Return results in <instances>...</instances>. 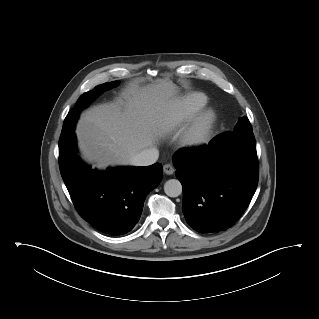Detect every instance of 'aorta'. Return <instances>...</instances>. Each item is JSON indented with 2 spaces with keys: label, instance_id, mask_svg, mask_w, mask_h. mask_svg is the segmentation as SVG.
<instances>
[{
  "label": "aorta",
  "instance_id": "762f6f07",
  "mask_svg": "<svg viewBox=\"0 0 319 319\" xmlns=\"http://www.w3.org/2000/svg\"><path fill=\"white\" fill-rule=\"evenodd\" d=\"M164 192L169 197H178L182 193V184L177 179H170L164 184Z\"/></svg>",
  "mask_w": 319,
  "mask_h": 319
}]
</instances>
